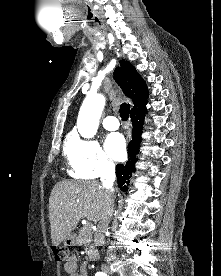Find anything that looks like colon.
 I'll list each match as a JSON object with an SVG mask.
<instances>
[{
	"label": "colon",
	"mask_w": 221,
	"mask_h": 276,
	"mask_svg": "<svg viewBox=\"0 0 221 276\" xmlns=\"http://www.w3.org/2000/svg\"><path fill=\"white\" fill-rule=\"evenodd\" d=\"M53 254L56 261L65 262L68 259L67 245H54Z\"/></svg>",
	"instance_id": "colon-1"
}]
</instances>
